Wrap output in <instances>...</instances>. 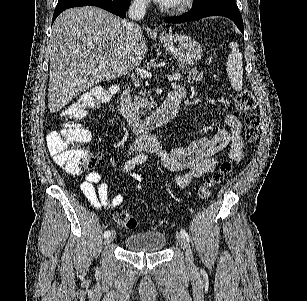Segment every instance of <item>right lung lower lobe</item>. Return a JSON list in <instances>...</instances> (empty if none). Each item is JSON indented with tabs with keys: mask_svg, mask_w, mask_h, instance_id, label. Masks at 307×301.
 <instances>
[{
	"mask_svg": "<svg viewBox=\"0 0 307 301\" xmlns=\"http://www.w3.org/2000/svg\"><path fill=\"white\" fill-rule=\"evenodd\" d=\"M129 1L130 0H58L52 21L54 22L56 17L68 8L86 5L101 7L124 18L126 16Z\"/></svg>",
	"mask_w": 307,
	"mask_h": 301,
	"instance_id": "right-lung-lower-lobe-1",
	"label": "right lung lower lobe"
}]
</instances>
